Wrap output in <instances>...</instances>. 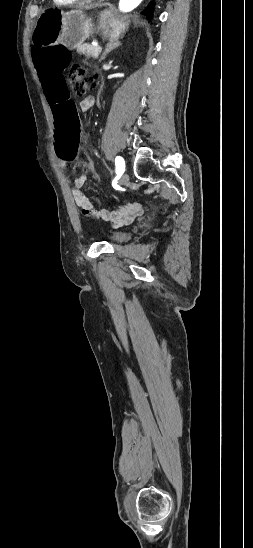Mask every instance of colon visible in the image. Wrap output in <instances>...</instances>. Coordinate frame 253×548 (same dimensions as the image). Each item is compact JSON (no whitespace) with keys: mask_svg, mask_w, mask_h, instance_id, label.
Wrapping results in <instances>:
<instances>
[{"mask_svg":"<svg viewBox=\"0 0 253 548\" xmlns=\"http://www.w3.org/2000/svg\"><path fill=\"white\" fill-rule=\"evenodd\" d=\"M34 68L40 79V95L47 96L51 105L52 120L57 128L54 136L55 156L58 159L72 160L76 154L79 129L77 127L76 99L71 97L66 78L69 60L67 51L62 46L38 49L34 52ZM72 91L76 96H83L95 85L94 75L80 66L72 67L69 73ZM94 180H103L94 162L82 160Z\"/></svg>","mask_w":253,"mask_h":548,"instance_id":"colon-1","label":"colon"}]
</instances>
